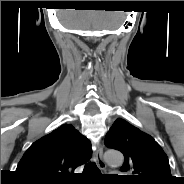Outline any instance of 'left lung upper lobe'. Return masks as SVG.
Segmentation results:
<instances>
[{"label":"left lung upper lobe","mask_w":184,"mask_h":184,"mask_svg":"<svg viewBox=\"0 0 184 184\" xmlns=\"http://www.w3.org/2000/svg\"><path fill=\"white\" fill-rule=\"evenodd\" d=\"M106 146L124 154L122 172L132 184H171L168 158L159 144L148 134L122 118L116 119L105 138Z\"/></svg>","instance_id":"obj_1"}]
</instances>
